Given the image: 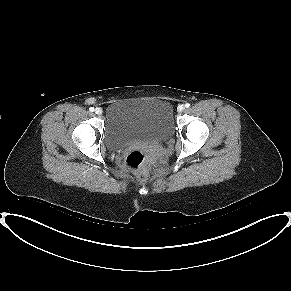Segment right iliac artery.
I'll use <instances>...</instances> for the list:
<instances>
[{"label":"right iliac artery","mask_w":291,"mask_h":291,"mask_svg":"<svg viewBox=\"0 0 291 291\" xmlns=\"http://www.w3.org/2000/svg\"><path fill=\"white\" fill-rule=\"evenodd\" d=\"M89 110H90L91 112H93V111H94V108H93V107H90Z\"/></svg>","instance_id":"right-iliac-artery-1"}]
</instances>
